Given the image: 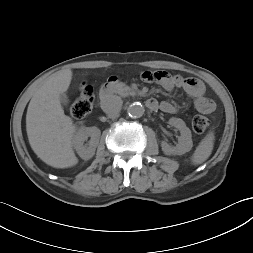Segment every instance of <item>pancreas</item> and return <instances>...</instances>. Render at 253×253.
Listing matches in <instances>:
<instances>
[{
    "instance_id": "obj_1",
    "label": "pancreas",
    "mask_w": 253,
    "mask_h": 253,
    "mask_svg": "<svg viewBox=\"0 0 253 253\" xmlns=\"http://www.w3.org/2000/svg\"><path fill=\"white\" fill-rule=\"evenodd\" d=\"M116 93L122 97L136 94L129 86H127L125 83L122 82L116 85Z\"/></svg>"
}]
</instances>
